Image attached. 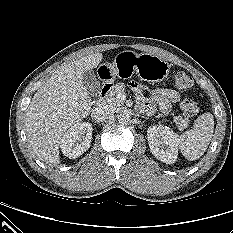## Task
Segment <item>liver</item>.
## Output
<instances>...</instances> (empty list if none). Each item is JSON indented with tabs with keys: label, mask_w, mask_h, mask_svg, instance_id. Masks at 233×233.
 Segmentation results:
<instances>
[{
	"label": "liver",
	"mask_w": 233,
	"mask_h": 233,
	"mask_svg": "<svg viewBox=\"0 0 233 233\" xmlns=\"http://www.w3.org/2000/svg\"><path fill=\"white\" fill-rule=\"evenodd\" d=\"M102 58V53H94L63 64L33 96L25 126L29 144L43 162H60L64 133L90 113L92 102L82 82L83 73L96 68Z\"/></svg>",
	"instance_id": "1"
}]
</instances>
